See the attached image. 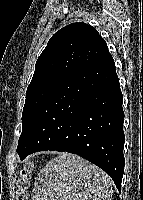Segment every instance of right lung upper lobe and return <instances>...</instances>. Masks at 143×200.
Listing matches in <instances>:
<instances>
[{"instance_id":"1","label":"right lung upper lobe","mask_w":143,"mask_h":200,"mask_svg":"<svg viewBox=\"0 0 143 200\" xmlns=\"http://www.w3.org/2000/svg\"><path fill=\"white\" fill-rule=\"evenodd\" d=\"M107 55V44L95 28L85 23L67 25L50 38L31 82L54 74L69 76Z\"/></svg>"}]
</instances>
